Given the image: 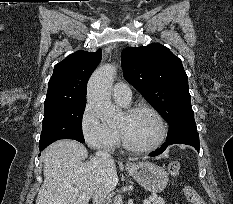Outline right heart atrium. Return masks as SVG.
Wrapping results in <instances>:
<instances>
[{
	"label": "right heart atrium",
	"instance_id": "1",
	"mask_svg": "<svg viewBox=\"0 0 233 204\" xmlns=\"http://www.w3.org/2000/svg\"><path fill=\"white\" fill-rule=\"evenodd\" d=\"M80 129L83 139L93 149L111 150L117 145L115 129L103 122L88 103L80 117Z\"/></svg>",
	"mask_w": 233,
	"mask_h": 204
}]
</instances>
